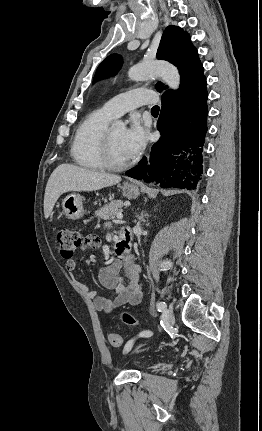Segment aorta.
I'll return each instance as SVG.
<instances>
[{
    "label": "aorta",
    "mask_w": 262,
    "mask_h": 431,
    "mask_svg": "<svg viewBox=\"0 0 262 431\" xmlns=\"http://www.w3.org/2000/svg\"><path fill=\"white\" fill-rule=\"evenodd\" d=\"M128 77L134 81H141L151 77H160L171 89L177 90L180 86V75L178 69L167 62H142L132 66L128 71ZM117 130L125 128L122 121L113 123Z\"/></svg>",
    "instance_id": "1"
}]
</instances>
